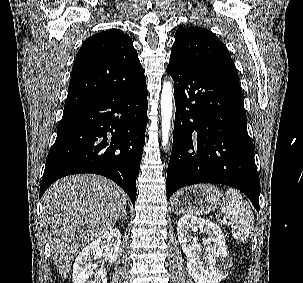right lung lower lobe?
Masks as SVG:
<instances>
[{
    "instance_id": "1",
    "label": "right lung lower lobe",
    "mask_w": 303,
    "mask_h": 283,
    "mask_svg": "<svg viewBox=\"0 0 303 283\" xmlns=\"http://www.w3.org/2000/svg\"><path fill=\"white\" fill-rule=\"evenodd\" d=\"M146 78L120 92L64 109L40 197L56 180L93 173L117 183L134 205L147 125Z\"/></svg>"
}]
</instances>
